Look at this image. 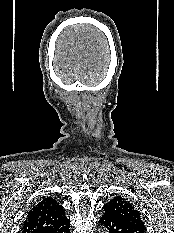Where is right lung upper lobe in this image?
<instances>
[{
  "label": "right lung upper lobe",
  "instance_id": "1",
  "mask_svg": "<svg viewBox=\"0 0 174 233\" xmlns=\"http://www.w3.org/2000/svg\"><path fill=\"white\" fill-rule=\"evenodd\" d=\"M69 223L63 207L53 198H44L28 212L22 233H52Z\"/></svg>",
  "mask_w": 174,
  "mask_h": 233
}]
</instances>
